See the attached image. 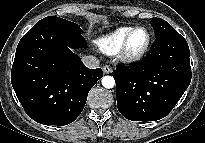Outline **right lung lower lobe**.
I'll return each mask as SVG.
<instances>
[{"instance_id":"obj_1","label":"right lung lower lobe","mask_w":205,"mask_h":143,"mask_svg":"<svg viewBox=\"0 0 205 143\" xmlns=\"http://www.w3.org/2000/svg\"><path fill=\"white\" fill-rule=\"evenodd\" d=\"M82 34L38 21L20 40L11 83L25 112L44 125H67L82 112L87 95L102 78L71 49L85 47Z\"/></svg>"}]
</instances>
